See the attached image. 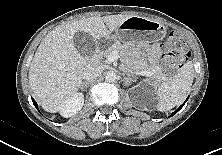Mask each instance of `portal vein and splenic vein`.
Here are the masks:
<instances>
[{
    "label": "portal vein and splenic vein",
    "mask_w": 222,
    "mask_h": 155,
    "mask_svg": "<svg viewBox=\"0 0 222 155\" xmlns=\"http://www.w3.org/2000/svg\"><path fill=\"white\" fill-rule=\"evenodd\" d=\"M119 57H120V56H119L118 52L113 51V52H111V53L108 55L107 61H108V62H114V61H116ZM139 75L151 77V76L154 75V73H153L152 71H141V72H139Z\"/></svg>",
    "instance_id": "portal-vein-and-splenic-vein-1"
}]
</instances>
